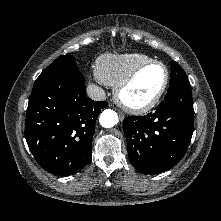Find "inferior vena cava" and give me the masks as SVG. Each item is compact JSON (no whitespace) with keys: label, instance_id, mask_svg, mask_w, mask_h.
Segmentation results:
<instances>
[{"label":"inferior vena cava","instance_id":"obj_1","mask_svg":"<svg viewBox=\"0 0 221 221\" xmlns=\"http://www.w3.org/2000/svg\"><path fill=\"white\" fill-rule=\"evenodd\" d=\"M87 95L89 98L96 101H103L106 99L105 91L101 87L94 84L87 87Z\"/></svg>","mask_w":221,"mask_h":221}]
</instances>
